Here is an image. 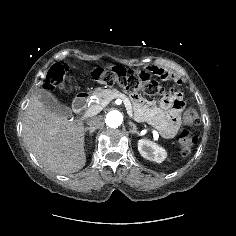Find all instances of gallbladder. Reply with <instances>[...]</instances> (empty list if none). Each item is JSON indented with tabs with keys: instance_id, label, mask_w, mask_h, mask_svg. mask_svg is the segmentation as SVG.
I'll return each mask as SVG.
<instances>
[{
	"instance_id": "obj_1",
	"label": "gallbladder",
	"mask_w": 236,
	"mask_h": 236,
	"mask_svg": "<svg viewBox=\"0 0 236 236\" xmlns=\"http://www.w3.org/2000/svg\"><path fill=\"white\" fill-rule=\"evenodd\" d=\"M36 94L47 110L53 111L60 116L67 117L71 115V109L65 105L60 104L48 91L44 89H38Z\"/></svg>"
}]
</instances>
